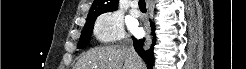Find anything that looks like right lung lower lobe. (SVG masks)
Segmentation results:
<instances>
[{"mask_svg":"<svg viewBox=\"0 0 246 69\" xmlns=\"http://www.w3.org/2000/svg\"><path fill=\"white\" fill-rule=\"evenodd\" d=\"M151 28H152V35L155 34V25L154 23H151ZM133 42H134V48L136 50V52L142 57V59L145 61V63L147 64L148 69H152L153 66V48L155 45V37L153 38V43L150 47V49L148 50H143L142 46H143V42L145 39L143 40H137L136 38H132Z\"/></svg>","mask_w":246,"mask_h":69,"instance_id":"1","label":"right lung lower lobe"}]
</instances>
